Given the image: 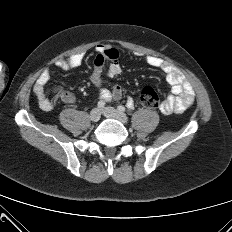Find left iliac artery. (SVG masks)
Segmentation results:
<instances>
[{
  "mask_svg": "<svg viewBox=\"0 0 232 232\" xmlns=\"http://www.w3.org/2000/svg\"><path fill=\"white\" fill-rule=\"evenodd\" d=\"M127 107H128L129 109H133V108H134V103L131 104V105H128V104H127ZM118 110H119L120 112H124V111H125V107L122 106V105H119V106H118Z\"/></svg>",
  "mask_w": 232,
  "mask_h": 232,
  "instance_id": "left-iliac-artery-1",
  "label": "left iliac artery"
}]
</instances>
